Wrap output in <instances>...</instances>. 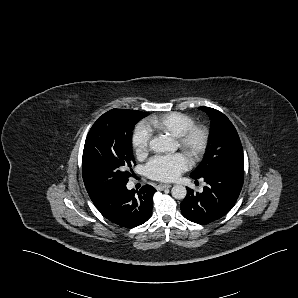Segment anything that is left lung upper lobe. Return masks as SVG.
Returning a JSON list of instances; mask_svg holds the SVG:
<instances>
[{
    "label": "left lung upper lobe",
    "mask_w": 298,
    "mask_h": 298,
    "mask_svg": "<svg viewBox=\"0 0 298 298\" xmlns=\"http://www.w3.org/2000/svg\"><path fill=\"white\" fill-rule=\"evenodd\" d=\"M211 118V148L199 167L191 173V177L219 169L234 162L243 161V149L231 121L220 111L200 106Z\"/></svg>",
    "instance_id": "5c2ea615"
}]
</instances>
